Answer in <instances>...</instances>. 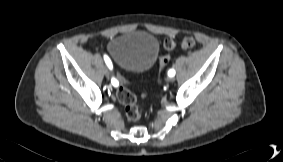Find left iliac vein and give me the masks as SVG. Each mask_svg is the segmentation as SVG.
<instances>
[{"label": "left iliac vein", "instance_id": "left-iliac-vein-1", "mask_svg": "<svg viewBox=\"0 0 283 162\" xmlns=\"http://www.w3.org/2000/svg\"><path fill=\"white\" fill-rule=\"evenodd\" d=\"M169 81L173 82L174 81V77H169Z\"/></svg>", "mask_w": 283, "mask_h": 162}]
</instances>
